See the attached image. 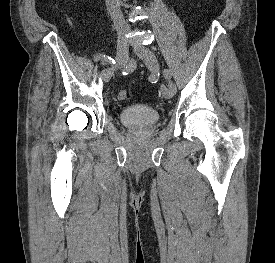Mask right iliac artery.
<instances>
[{"label":"right iliac artery","mask_w":275,"mask_h":263,"mask_svg":"<svg viewBox=\"0 0 275 263\" xmlns=\"http://www.w3.org/2000/svg\"><path fill=\"white\" fill-rule=\"evenodd\" d=\"M94 60H95V61L102 60V61H104V62H106V63H109V64H111V63L115 64V61L112 59V57L107 56V55H105V54L96 55V56L94 57Z\"/></svg>","instance_id":"right-iliac-artery-1"}]
</instances>
